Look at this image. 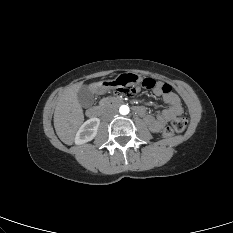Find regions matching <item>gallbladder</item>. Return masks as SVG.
I'll use <instances>...</instances> for the list:
<instances>
[{"label":"gallbladder","instance_id":"gallbladder-1","mask_svg":"<svg viewBox=\"0 0 233 233\" xmlns=\"http://www.w3.org/2000/svg\"><path fill=\"white\" fill-rule=\"evenodd\" d=\"M77 99L82 107L89 108L94 103V93L90 87L82 85L77 92Z\"/></svg>","mask_w":233,"mask_h":233}]
</instances>
